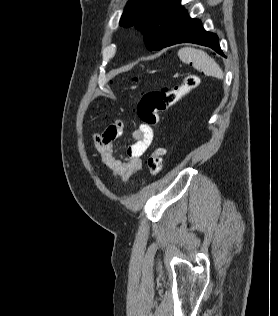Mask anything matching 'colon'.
Returning a JSON list of instances; mask_svg holds the SVG:
<instances>
[{"label":"colon","mask_w":278,"mask_h":316,"mask_svg":"<svg viewBox=\"0 0 278 316\" xmlns=\"http://www.w3.org/2000/svg\"><path fill=\"white\" fill-rule=\"evenodd\" d=\"M198 84L199 77L195 74H188L172 88L146 92L137 108L140 120L150 127L159 126L161 122L160 112L173 106L183 96L195 89ZM164 155V148L158 147L148 156L147 167L151 175H157L163 169Z\"/></svg>","instance_id":"5ec220e1"}]
</instances>
